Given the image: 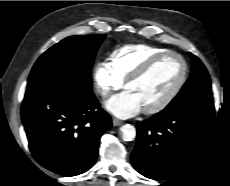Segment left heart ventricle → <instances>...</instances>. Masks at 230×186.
Wrapping results in <instances>:
<instances>
[{"label": "left heart ventricle", "instance_id": "left-heart-ventricle-1", "mask_svg": "<svg viewBox=\"0 0 230 186\" xmlns=\"http://www.w3.org/2000/svg\"><path fill=\"white\" fill-rule=\"evenodd\" d=\"M182 63L176 57L160 60L143 78L127 85L140 101L142 108L160 102L176 85L182 74Z\"/></svg>", "mask_w": 230, "mask_h": 186}]
</instances>
